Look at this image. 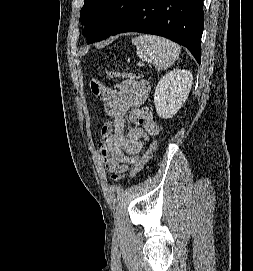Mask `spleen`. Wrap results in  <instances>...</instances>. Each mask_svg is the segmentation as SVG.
<instances>
[{
    "mask_svg": "<svg viewBox=\"0 0 253 271\" xmlns=\"http://www.w3.org/2000/svg\"><path fill=\"white\" fill-rule=\"evenodd\" d=\"M132 43L136 46L137 56L151 61L158 71L169 68L180 55V47L163 37L140 35L133 38Z\"/></svg>",
    "mask_w": 253,
    "mask_h": 271,
    "instance_id": "3e777b00",
    "label": "spleen"
}]
</instances>
